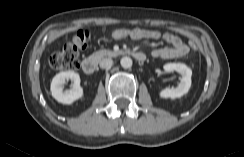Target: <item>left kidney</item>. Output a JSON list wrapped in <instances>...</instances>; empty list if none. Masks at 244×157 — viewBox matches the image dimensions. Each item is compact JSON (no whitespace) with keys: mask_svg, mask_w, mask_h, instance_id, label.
Masks as SVG:
<instances>
[{"mask_svg":"<svg viewBox=\"0 0 244 157\" xmlns=\"http://www.w3.org/2000/svg\"><path fill=\"white\" fill-rule=\"evenodd\" d=\"M164 70L166 72L177 71L181 74L180 83L176 88H165L159 92L161 98H180L183 95L187 94L191 87V69L183 63H167L164 65Z\"/></svg>","mask_w":244,"mask_h":157,"instance_id":"1","label":"left kidney"}]
</instances>
